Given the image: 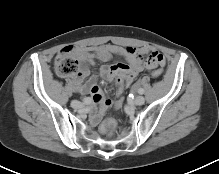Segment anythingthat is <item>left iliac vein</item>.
Instances as JSON below:
<instances>
[{"mask_svg":"<svg viewBox=\"0 0 219 174\" xmlns=\"http://www.w3.org/2000/svg\"><path fill=\"white\" fill-rule=\"evenodd\" d=\"M133 102L135 105H143L145 102V98L143 96L139 95V96L135 97Z\"/></svg>","mask_w":219,"mask_h":174,"instance_id":"left-iliac-vein-1","label":"left iliac vein"}]
</instances>
